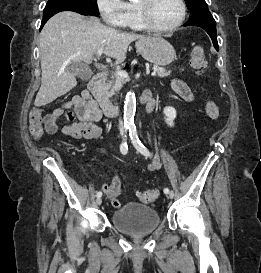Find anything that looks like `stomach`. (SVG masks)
Masks as SVG:
<instances>
[{
    "instance_id": "obj_1",
    "label": "stomach",
    "mask_w": 261,
    "mask_h": 273,
    "mask_svg": "<svg viewBox=\"0 0 261 273\" xmlns=\"http://www.w3.org/2000/svg\"><path fill=\"white\" fill-rule=\"evenodd\" d=\"M135 45L144 59L158 66H166L176 58L173 46L162 37L139 39Z\"/></svg>"
}]
</instances>
